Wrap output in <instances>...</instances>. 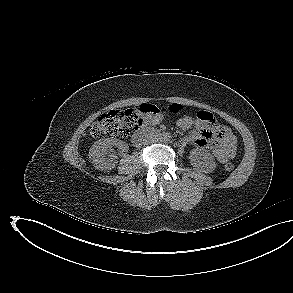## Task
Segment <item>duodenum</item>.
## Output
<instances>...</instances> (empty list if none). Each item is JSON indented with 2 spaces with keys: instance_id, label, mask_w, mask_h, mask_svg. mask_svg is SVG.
Masks as SVG:
<instances>
[{
  "instance_id": "410a0bca",
  "label": "duodenum",
  "mask_w": 293,
  "mask_h": 293,
  "mask_svg": "<svg viewBox=\"0 0 293 293\" xmlns=\"http://www.w3.org/2000/svg\"><path fill=\"white\" fill-rule=\"evenodd\" d=\"M154 134L160 135L161 133L154 132V131L147 129V128L139 129L138 131H136L132 135L131 142L134 145H139L145 138H147L151 135H154Z\"/></svg>"
}]
</instances>
